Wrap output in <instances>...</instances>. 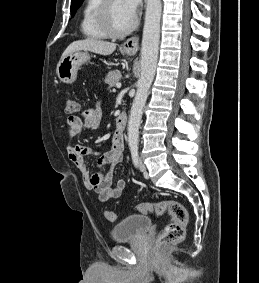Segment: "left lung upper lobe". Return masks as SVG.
<instances>
[{"label": "left lung upper lobe", "mask_w": 259, "mask_h": 283, "mask_svg": "<svg viewBox=\"0 0 259 283\" xmlns=\"http://www.w3.org/2000/svg\"><path fill=\"white\" fill-rule=\"evenodd\" d=\"M83 0H72L71 1V15L74 16L76 10L82 4Z\"/></svg>", "instance_id": "5c2ea615"}]
</instances>
